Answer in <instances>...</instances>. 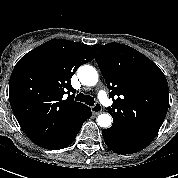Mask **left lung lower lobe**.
Instances as JSON below:
<instances>
[{"mask_svg": "<svg viewBox=\"0 0 178 178\" xmlns=\"http://www.w3.org/2000/svg\"><path fill=\"white\" fill-rule=\"evenodd\" d=\"M106 145L119 154H131L143 150L150 143L110 127L102 131Z\"/></svg>", "mask_w": 178, "mask_h": 178, "instance_id": "0a47b994", "label": "left lung lower lobe"}]
</instances>
